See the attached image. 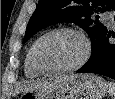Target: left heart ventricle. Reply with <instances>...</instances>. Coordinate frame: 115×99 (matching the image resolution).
<instances>
[{"label": "left heart ventricle", "mask_w": 115, "mask_h": 99, "mask_svg": "<svg viewBox=\"0 0 115 99\" xmlns=\"http://www.w3.org/2000/svg\"><path fill=\"white\" fill-rule=\"evenodd\" d=\"M84 46L80 38L70 33H59L43 40L38 48L40 62L47 68H61L76 63Z\"/></svg>", "instance_id": "obj_1"}]
</instances>
